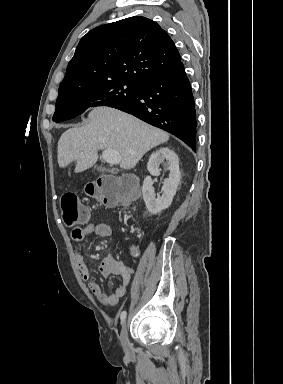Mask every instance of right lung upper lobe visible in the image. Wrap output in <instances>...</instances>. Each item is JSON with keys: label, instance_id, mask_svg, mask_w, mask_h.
<instances>
[{"label": "right lung upper lobe", "instance_id": "1", "mask_svg": "<svg viewBox=\"0 0 283 384\" xmlns=\"http://www.w3.org/2000/svg\"><path fill=\"white\" fill-rule=\"evenodd\" d=\"M182 68L180 54L166 31L136 16L96 27L83 36L60 87L110 80L141 85Z\"/></svg>", "mask_w": 283, "mask_h": 384}]
</instances>
